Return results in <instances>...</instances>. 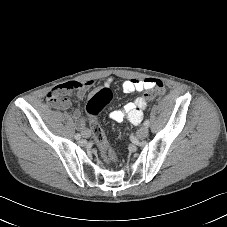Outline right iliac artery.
Masks as SVG:
<instances>
[{
  "label": "right iliac artery",
  "mask_w": 227,
  "mask_h": 227,
  "mask_svg": "<svg viewBox=\"0 0 227 227\" xmlns=\"http://www.w3.org/2000/svg\"><path fill=\"white\" fill-rule=\"evenodd\" d=\"M80 138H81L80 134L77 133V134L75 135V139L78 140V139H80Z\"/></svg>",
  "instance_id": "1"
}]
</instances>
